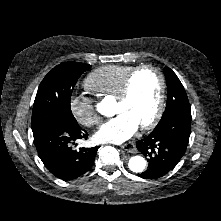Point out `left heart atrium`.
<instances>
[{"label":"left heart atrium","instance_id":"left-heart-atrium-1","mask_svg":"<svg viewBox=\"0 0 221 221\" xmlns=\"http://www.w3.org/2000/svg\"><path fill=\"white\" fill-rule=\"evenodd\" d=\"M138 127L129 115L120 113L99 128L95 139L100 142L122 143L132 137Z\"/></svg>","mask_w":221,"mask_h":221}]
</instances>
